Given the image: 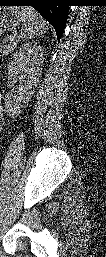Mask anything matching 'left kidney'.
Wrapping results in <instances>:
<instances>
[{
	"label": "left kidney",
	"instance_id": "1",
	"mask_svg": "<svg viewBox=\"0 0 106 257\" xmlns=\"http://www.w3.org/2000/svg\"><path fill=\"white\" fill-rule=\"evenodd\" d=\"M43 49L37 43L22 45L11 57L8 65V86L15 88L5 96L8 112L18 114L30 99L42 72Z\"/></svg>",
	"mask_w": 106,
	"mask_h": 257
}]
</instances>
